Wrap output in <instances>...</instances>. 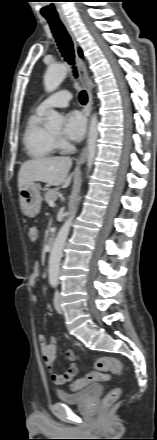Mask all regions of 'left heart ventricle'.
<instances>
[{
	"label": "left heart ventricle",
	"instance_id": "left-heart-ventricle-1",
	"mask_svg": "<svg viewBox=\"0 0 157 440\" xmlns=\"http://www.w3.org/2000/svg\"><path fill=\"white\" fill-rule=\"evenodd\" d=\"M54 135H58L59 134V131H54V132H52Z\"/></svg>",
	"mask_w": 157,
	"mask_h": 440
}]
</instances>
